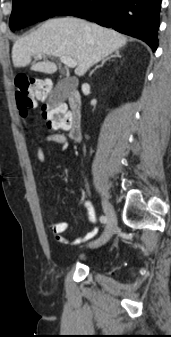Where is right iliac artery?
I'll use <instances>...</instances> for the list:
<instances>
[{"instance_id": "right-iliac-artery-1", "label": "right iliac artery", "mask_w": 171, "mask_h": 337, "mask_svg": "<svg viewBox=\"0 0 171 337\" xmlns=\"http://www.w3.org/2000/svg\"><path fill=\"white\" fill-rule=\"evenodd\" d=\"M100 221H101V223H106L107 222V217L102 215L100 217Z\"/></svg>"}]
</instances>
